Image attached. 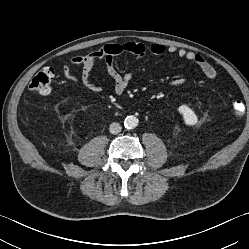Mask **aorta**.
<instances>
[{
  "label": "aorta",
  "mask_w": 249,
  "mask_h": 249,
  "mask_svg": "<svg viewBox=\"0 0 249 249\" xmlns=\"http://www.w3.org/2000/svg\"><path fill=\"white\" fill-rule=\"evenodd\" d=\"M124 126L127 129H134L138 126V119L133 115L127 116L124 120Z\"/></svg>",
  "instance_id": "1"
}]
</instances>
